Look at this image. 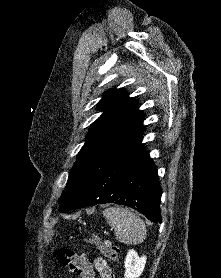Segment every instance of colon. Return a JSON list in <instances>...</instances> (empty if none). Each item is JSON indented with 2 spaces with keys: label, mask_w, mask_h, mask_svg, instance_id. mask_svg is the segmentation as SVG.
Here are the masks:
<instances>
[{
  "label": "colon",
  "mask_w": 221,
  "mask_h": 278,
  "mask_svg": "<svg viewBox=\"0 0 221 278\" xmlns=\"http://www.w3.org/2000/svg\"><path fill=\"white\" fill-rule=\"evenodd\" d=\"M85 241L92 247L100 250L110 260H116L119 256L118 247L110 242L101 239L98 235L88 233L85 236ZM57 262L69 272L80 276L81 278H93V273L89 264L85 261L84 256L76 251L60 247L55 251Z\"/></svg>",
  "instance_id": "colon-1"
}]
</instances>
